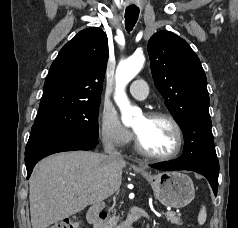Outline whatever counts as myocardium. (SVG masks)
Wrapping results in <instances>:
<instances>
[{
    "label": "myocardium",
    "mask_w": 238,
    "mask_h": 228,
    "mask_svg": "<svg viewBox=\"0 0 238 228\" xmlns=\"http://www.w3.org/2000/svg\"><path fill=\"white\" fill-rule=\"evenodd\" d=\"M146 117L152 119H165L173 126L175 134H176V145L172 152L166 155H156L147 151L142 145L138 135L134 133L135 147L138 153L148 159L156 160V161H168L176 158L183 148V132L181 126L178 121L169 113L163 111H150L146 114Z\"/></svg>",
    "instance_id": "myocardium-1"
}]
</instances>
